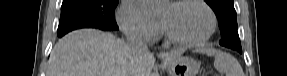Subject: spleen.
I'll use <instances>...</instances> for the list:
<instances>
[{
  "label": "spleen",
  "mask_w": 287,
  "mask_h": 76,
  "mask_svg": "<svg viewBox=\"0 0 287 76\" xmlns=\"http://www.w3.org/2000/svg\"><path fill=\"white\" fill-rule=\"evenodd\" d=\"M196 52L206 54L210 57L213 56L215 68L226 76H244L241 65L231 54L212 47L200 48Z\"/></svg>",
  "instance_id": "spleen-1"
}]
</instances>
